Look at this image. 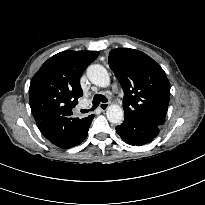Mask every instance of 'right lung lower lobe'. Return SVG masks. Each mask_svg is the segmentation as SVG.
I'll list each match as a JSON object with an SVG mask.
<instances>
[{"label":"right lung lower lobe","instance_id":"right-lung-lower-lobe-1","mask_svg":"<svg viewBox=\"0 0 205 205\" xmlns=\"http://www.w3.org/2000/svg\"><path fill=\"white\" fill-rule=\"evenodd\" d=\"M94 115L85 118L82 126L73 135L68 134V122L71 117L50 115L39 122L37 126L41 133L54 145L60 148H71L80 144L87 136Z\"/></svg>","mask_w":205,"mask_h":205}]
</instances>
